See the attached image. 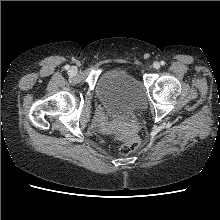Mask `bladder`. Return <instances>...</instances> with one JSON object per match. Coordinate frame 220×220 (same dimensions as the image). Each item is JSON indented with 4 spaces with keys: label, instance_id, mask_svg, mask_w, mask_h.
I'll use <instances>...</instances> for the list:
<instances>
[{
    "label": "bladder",
    "instance_id": "31cf9c89",
    "mask_svg": "<svg viewBox=\"0 0 220 220\" xmlns=\"http://www.w3.org/2000/svg\"><path fill=\"white\" fill-rule=\"evenodd\" d=\"M96 96L107 114L115 120H127L145 105L142 84L125 70L102 75L96 85Z\"/></svg>",
    "mask_w": 220,
    "mask_h": 220
}]
</instances>
